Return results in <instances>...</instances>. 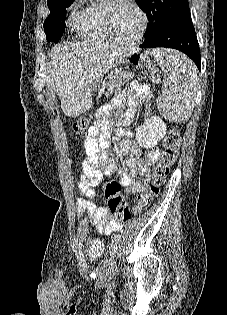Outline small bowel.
Returning a JSON list of instances; mask_svg holds the SVG:
<instances>
[{"instance_id": "c3829d8e", "label": "small bowel", "mask_w": 227, "mask_h": 315, "mask_svg": "<svg viewBox=\"0 0 227 315\" xmlns=\"http://www.w3.org/2000/svg\"><path fill=\"white\" fill-rule=\"evenodd\" d=\"M151 96L147 85L137 81H131L119 94L120 99L130 101L148 100ZM103 113H98V119L91 126L85 139V157L81 163V175L76 182L77 188L85 195L86 199H78L76 204L81 217L89 216L91 225L89 230L111 234L123 227L107 207H98L89 199L95 195L94 188L101 182L104 176L115 174V180L126 187L128 194H137L145 189V181L148 177L150 166L157 161L160 152L151 150L146 157L133 146L126 137H122L123 131L118 134L120 147L133 156L129 158L125 166H118L114 159L109 156L110 132L106 122L102 119Z\"/></svg>"}]
</instances>
